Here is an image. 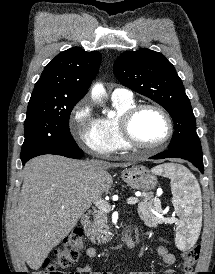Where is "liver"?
<instances>
[{
	"mask_svg": "<svg viewBox=\"0 0 215 274\" xmlns=\"http://www.w3.org/2000/svg\"><path fill=\"white\" fill-rule=\"evenodd\" d=\"M111 166L104 161L54 155L36 157L25 165L14 239L31 269L42 266L82 214L110 189L113 179L107 169Z\"/></svg>",
	"mask_w": 215,
	"mask_h": 274,
	"instance_id": "6515ba94",
	"label": "liver"
}]
</instances>
